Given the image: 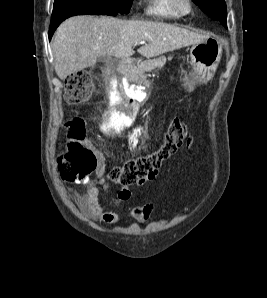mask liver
I'll use <instances>...</instances> for the list:
<instances>
[{"instance_id": "6515ba94", "label": "liver", "mask_w": 267, "mask_h": 298, "mask_svg": "<svg viewBox=\"0 0 267 298\" xmlns=\"http://www.w3.org/2000/svg\"><path fill=\"white\" fill-rule=\"evenodd\" d=\"M209 36L171 24L143 20H121L89 15L63 21L53 42L54 68L60 79L92 67L100 56L127 59L140 41L148 43L138 49L150 58L201 43Z\"/></svg>"}]
</instances>
